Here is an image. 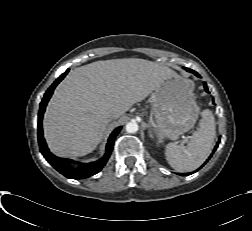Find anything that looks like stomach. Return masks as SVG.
<instances>
[{
  "label": "stomach",
  "mask_w": 252,
  "mask_h": 231,
  "mask_svg": "<svg viewBox=\"0 0 252 231\" xmlns=\"http://www.w3.org/2000/svg\"><path fill=\"white\" fill-rule=\"evenodd\" d=\"M193 90V81L173 73L154 91L152 104L160 139L176 140L193 128L199 113Z\"/></svg>",
  "instance_id": "obj_1"
}]
</instances>
